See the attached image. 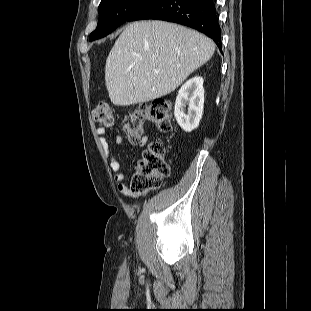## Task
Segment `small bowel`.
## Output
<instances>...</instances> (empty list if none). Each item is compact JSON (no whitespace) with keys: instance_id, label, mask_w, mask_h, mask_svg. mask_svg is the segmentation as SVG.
Returning a JSON list of instances; mask_svg holds the SVG:
<instances>
[{"instance_id":"obj_1","label":"small bowel","mask_w":311,"mask_h":311,"mask_svg":"<svg viewBox=\"0 0 311 311\" xmlns=\"http://www.w3.org/2000/svg\"><path fill=\"white\" fill-rule=\"evenodd\" d=\"M96 135L98 137L99 146L104 156L109 162V167L114 173V180L117 183L118 191L125 197L136 198L137 194L131 189V187L125 182V175L121 171V166L119 160L113 154V148L109 143L105 129L102 127H97L95 129ZM114 142L117 146L124 144V138L121 135H116ZM149 142L147 136H143L142 139L138 142L139 147L144 148Z\"/></svg>"}]
</instances>
